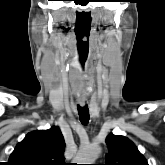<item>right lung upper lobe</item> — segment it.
I'll return each mask as SVG.
<instances>
[{"label":"right lung upper lobe","mask_w":165,"mask_h":165,"mask_svg":"<svg viewBox=\"0 0 165 165\" xmlns=\"http://www.w3.org/2000/svg\"><path fill=\"white\" fill-rule=\"evenodd\" d=\"M65 141L59 127L32 131L11 153L9 165H66Z\"/></svg>","instance_id":"cb5924a9"}]
</instances>
